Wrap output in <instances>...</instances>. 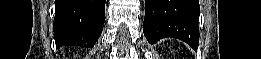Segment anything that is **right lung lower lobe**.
I'll list each match as a JSON object with an SVG mask.
<instances>
[{
    "label": "right lung lower lobe",
    "instance_id": "1",
    "mask_svg": "<svg viewBox=\"0 0 261 59\" xmlns=\"http://www.w3.org/2000/svg\"><path fill=\"white\" fill-rule=\"evenodd\" d=\"M106 0H55L56 46L93 47L105 21Z\"/></svg>",
    "mask_w": 261,
    "mask_h": 59
}]
</instances>
